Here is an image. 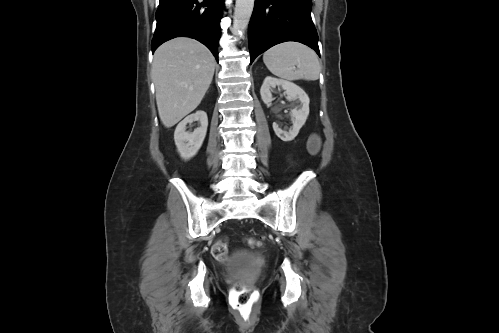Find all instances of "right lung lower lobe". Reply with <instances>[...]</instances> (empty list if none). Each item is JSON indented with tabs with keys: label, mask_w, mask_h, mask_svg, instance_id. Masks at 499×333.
Instances as JSON below:
<instances>
[{
	"label": "right lung lower lobe",
	"mask_w": 499,
	"mask_h": 333,
	"mask_svg": "<svg viewBox=\"0 0 499 333\" xmlns=\"http://www.w3.org/2000/svg\"><path fill=\"white\" fill-rule=\"evenodd\" d=\"M223 5L224 0H159L152 52L172 38L185 36L206 45L218 60Z\"/></svg>",
	"instance_id": "right-lung-lower-lobe-1"
}]
</instances>
